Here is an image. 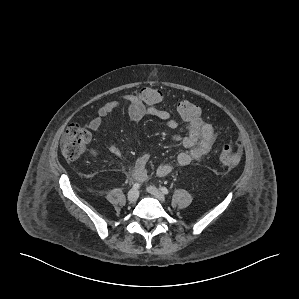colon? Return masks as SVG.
Here are the masks:
<instances>
[{"label":"colon","mask_w":299,"mask_h":299,"mask_svg":"<svg viewBox=\"0 0 299 299\" xmlns=\"http://www.w3.org/2000/svg\"><path fill=\"white\" fill-rule=\"evenodd\" d=\"M140 97L144 104L149 108H157L162 102V94L159 90L144 87L139 91ZM177 121L189 123L200 117V109L194 103L183 100L178 103ZM91 139L89 130L79 124H71L68 126L62 139V153L65 158L74 160L81 156L87 149ZM242 157V152L239 148L231 144H224L221 148L219 160L227 167L237 166Z\"/></svg>","instance_id":"5ec220e1"}]
</instances>
